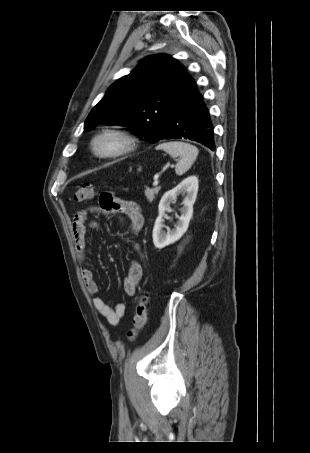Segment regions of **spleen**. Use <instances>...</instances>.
Masks as SVG:
<instances>
[{"mask_svg": "<svg viewBox=\"0 0 310 453\" xmlns=\"http://www.w3.org/2000/svg\"><path fill=\"white\" fill-rule=\"evenodd\" d=\"M156 149L167 152L172 158H180L175 167V172L179 176L191 168L199 153L196 146L180 141L165 142L159 144Z\"/></svg>", "mask_w": 310, "mask_h": 453, "instance_id": "spleen-1", "label": "spleen"}]
</instances>
